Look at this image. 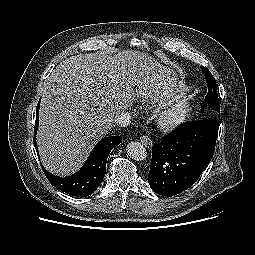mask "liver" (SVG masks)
Here are the masks:
<instances>
[{"label":"liver","instance_id":"1","mask_svg":"<svg viewBox=\"0 0 255 255\" xmlns=\"http://www.w3.org/2000/svg\"><path fill=\"white\" fill-rule=\"evenodd\" d=\"M177 88L176 71L137 51L65 59L43 87L37 135L43 165L61 176L74 173L114 118L135 100L155 103L174 95Z\"/></svg>","mask_w":255,"mask_h":255}]
</instances>
